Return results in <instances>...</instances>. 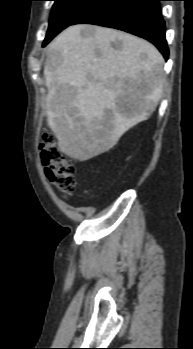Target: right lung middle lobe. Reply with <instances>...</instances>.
I'll use <instances>...</instances> for the list:
<instances>
[{"mask_svg":"<svg viewBox=\"0 0 193 349\" xmlns=\"http://www.w3.org/2000/svg\"><path fill=\"white\" fill-rule=\"evenodd\" d=\"M49 28L43 46L99 0H54Z\"/></svg>","mask_w":193,"mask_h":349,"instance_id":"right-lung-middle-lobe-1","label":"right lung middle lobe"}]
</instances>
